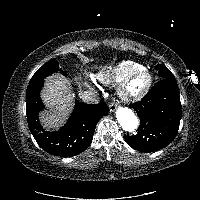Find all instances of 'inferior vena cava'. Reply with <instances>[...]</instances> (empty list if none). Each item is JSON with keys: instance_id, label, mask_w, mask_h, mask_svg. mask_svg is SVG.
Listing matches in <instances>:
<instances>
[{"instance_id": "1", "label": "inferior vena cava", "mask_w": 200, "mask_h": 200, "mask_svg": "<svg viewBox=\"0 0 200 200\" xmlns=\"http://www.w3.org/2000/svg\"><path fill=\"white\" fill-rule=\"evenodd\" d=\"M80 98L85 103H91V104H97V103H99V97H98V94L96 92L85 91V92H83L81 94Z\"/></svg>"}]
</instances>
